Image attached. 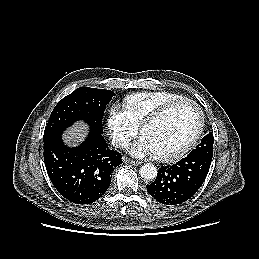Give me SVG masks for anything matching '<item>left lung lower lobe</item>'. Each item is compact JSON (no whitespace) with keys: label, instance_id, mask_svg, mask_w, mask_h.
Segmentation results:
<instances>
[{"label":"left lung lower lobe","instance_id":"0a47b994","mask_svg":"<svg viewBox=\"0 0 259 259\" xmlns=\"http://www.w3.org/2000/svg\"><path fill=\"white\" fill-rule=\"evenodd\" d=\"M212 158L189 154L174 165L159 168L148 193L166 205L180 204L191 198L203 184Z\"/></svg>","mask_w":259,"mask_h":259}]
</instances>
